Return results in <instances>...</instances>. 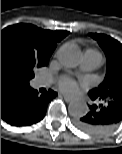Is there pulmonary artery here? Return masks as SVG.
<instances>
[{"mask_svg": "<svg viewBox=\"0 0 122 154\" xmlns=\"http://www.w3.org/2000/svg\"><path fill=\"white\" fill-rule=\"evenodd\" d=\"M102 63L101 54L93 49H88L84 52L83 62L81 65V69L83 71H92L98 68ZM37 87H42L46 85V81L43 79H38L35 82Z\"/></svg>", "mask_w": 122, "mask_h": 154, "instance_id": "obj_1", "label": "pulmonary artery"}]
</instances>
